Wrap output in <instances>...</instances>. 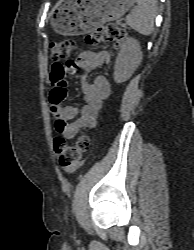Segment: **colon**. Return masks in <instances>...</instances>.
I'll use <instances>...</instances> for the list:
<instances>
[{
    "mask_svg": "<svg viewBox=\"0 0 194 250\" xmlns=\"http://www.w3.org/2000/svg\"><path fill=\"white\" fill-rule=\"evenodd\" d=\"M125 36L126 33L123 29L114 24H105L97 27L94 31L88 34L86 41L91 45L104 42L120 45ZM75 50L76 44L72 40H60L51 45V55L54 59L58 60L67 59ZM51 79L54 88L51 92L50 99L54 105H58L61 104L67 96L65 88L59 89L56 87L57 83L62 81L63 75H51ZM87 147L88 138L85 135L78 137V139L72 144H67L62 136L55 138V153L59 164L64 170L76 164Z\"/></svg>",
    "mask_w": 194,
    "mask_h": 250,
    "instance_id": "colon-1",
    "label": "colon"
}]
</instances>
